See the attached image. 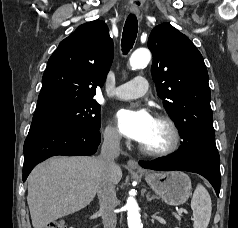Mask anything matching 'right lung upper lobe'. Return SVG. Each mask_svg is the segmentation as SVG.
I'll use <instances>...</instances> for the list:
<instances>
[{"label":"right lung upper lobe","mask_w":238,"mask_h":228,"mask_svg":"<svg viewBox=\"0 0 238 228\" xmlns=\"http://www.w3.org/2000/svg\"><path fill=\"white\" fill-rule=\"evenodd\" d=\"M113 40L103 21L79 26L48 60L33 117L93 100L113 60Z\"/></svg>","instance_id":"1"}]
</instances>
